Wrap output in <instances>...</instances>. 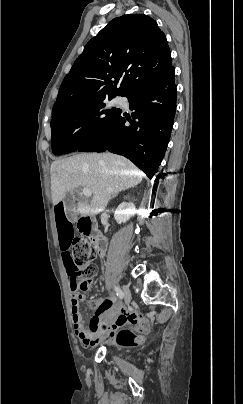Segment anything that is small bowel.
<instances>
[{
  "mask_svg": "<svg viewBox=\"0 0 243 404\" xmlns=\"http://www.w3.org/2000/svg\"><path fill=\"white\" fill-rule=\"evenodd\" d=\"M54 217L59 237L62 260L67 274L70 277V288L73 292L71 297V313L77 337L84 346H94L103 341L110 329L119 330L128 326H134L137 331L145 333L148 331L147 323L135 312L114 313L107 321L102 319V315L111 305V299H96L91 302V307L95 310V315L90 320L88 326L84 325V320L79 312V305L85 298L82 294H77V284L74 280V266L70 246L73 240V225L67 216L66 208L62 202L55 205Z\"/></svg>",
  "mask_w": 243,
  "mask_h": 404,
  "instance_id": "c3829d8e",
  "label": "small bowel"
}]
</instances>
